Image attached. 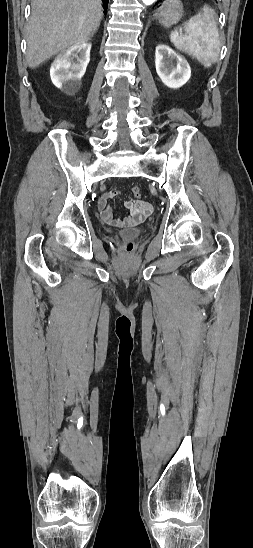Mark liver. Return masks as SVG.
<instances>
[{
	"instance_id": "6515ba94",
	"label": "liver",
	"mask_w": 253,
	"mask_h": 548,
	"mask_svg": "<svg viewBox=\"0 0 253 548\" xmlns=\"http://www.w3.org/2000/svg\"><path fill=\"white\" fill-rule=\"evenodd\" d=\"M102 17L101 0H32L26 28L28 66L34 69L59 52L87 42Z\"/></svg>"
}]
</instances>
